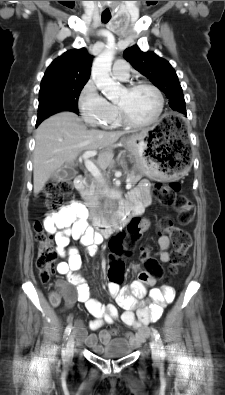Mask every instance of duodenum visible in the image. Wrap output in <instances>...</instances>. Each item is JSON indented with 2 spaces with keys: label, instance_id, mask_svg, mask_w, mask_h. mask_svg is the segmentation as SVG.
I'll use <instances>...</instances> for the list:
<instances>
[{
  "label": "duodenum",
  "instance_id": "1",
  "mask_svg": "<svg viewBox=\"0 0 225 395\" xmlns=\"http://www.w3.org/2000/svg\"><path fill=\"white\" fill-rule=\"evenodd\" d=\"M86 180L83 175H78L75 178V187L82 191L85 189ZM133 212L128 208H121L115 215L110 219L96 218L94 221V227L100 237H108L113 233L116 225H126L129 223Z\"/></svg>",
  "mask_w": 225,
  "mask_h": 395
}]
</instances>
